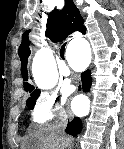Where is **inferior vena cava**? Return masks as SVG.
Wrapping results in <instances>:
<instances>
[{
    "label": "inferior vena cava",
    "mask_w": 124,
    "mask_h": 149,
    "mask_svg": "<svg viewBox=\"0 0 124 149\" xmlns=\"http://www.w3.org/2000/svg\"><path fill=\"white\" fill-rule=\"evenodd\" d=\"M57 119H58V121L56 122V125L53 128L55 129V131H57V133L62 135V132L66 126V116L63 114H59L57 116Z\"/></svg>",
    "instance_id": "602c4592"
}]
</instances>
